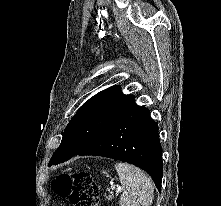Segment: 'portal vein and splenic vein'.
<instances>
[{"label":"portal vein and splenic vein","instance_id":"obj_1","mask_svg":"<svg viewBox=\"0 0 221 206\" xmlns=\"http://www.w3.org/2000/svg\"><path fill=\"white\" fill-rule=\"evenodd\" d=\"M115 189H116L115 186L112 185V186H111V190L113 191V190H115ZM121 190H122L121 187H118V188H117V191H121Z\"/></svg>","mask_w":221,"mask_h":206}]
</instances>
